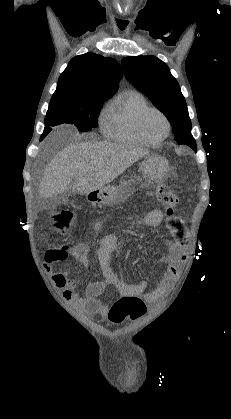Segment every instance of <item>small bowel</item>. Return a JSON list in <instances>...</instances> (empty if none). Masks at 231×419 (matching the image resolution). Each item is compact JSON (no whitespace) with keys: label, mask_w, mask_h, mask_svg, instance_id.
Listing matches in <instances>:
<instances>
[{"label":"small bowel","mask_w":231,"mask_h":419,"mask_svg":"<svg viewBox=\"0 0 231 419\" xmlns=\"http://www.w3.org/2000/svg\"><path fill=\"white\" fill-rule=\"evenodd\" d=\"M164 219V214L158 210H152L145 217L139 220L135 225L139 227H156ZM101 227V222L94 223L93 228L97 232ZM168 227L172 234V239L167 240L168 255L165 258L167 263L164 275L160 283L151 291L147 292V282L140 281L130 284L120 279L111 266V257L117 246V237L115 235H106L98 240L97 258L103 274L102 279L91 282L87 285L84 295H79L75 288L74 280L68 278L64 272L51 274L52 283L62 290V296L66 302L72 304L75 308L90 314H100L103 317L108 316L109 305L102 303L99 296L107 286H113L121 296H136L141 298L145 304L154 305L165 294L169 284L178 276L179 267L186 260V250L188 247V233L183 221L175 213L168 215ZM74 259L80 265L89 266V247L87 244L79 243L72 249ZM48 269L52 264H47ZM146 312V311H145Z\"/></svg>","instance_id":"c3829d8e"}]
</instances>
